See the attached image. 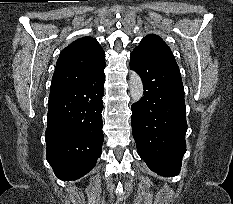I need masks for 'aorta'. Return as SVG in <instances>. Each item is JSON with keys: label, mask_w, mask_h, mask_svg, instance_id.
<instances>
[{"label": "aorta", "mask_w": 233, "mask_h": 204, "mask_svg": "<svg viewBox=\"0 0 233 204\" xmlns=\"http://www.w3.org/2000/svg\"><path fill=\"white\" fill-rule=\"evenodd\" d=\"M129 89L132 102L136 103L143 97V83L140 76L135 71L130 73Z\"/></svg>", "instance_id": "aorta-1"}]
</instances>
